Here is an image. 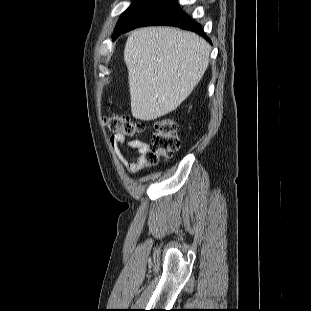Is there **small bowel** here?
<instances>
[{"label":"small bowel","mask_w":311,"mask_h":311,"mask_svg":"<svg viewBox=\"0 0 311 311\" xmlns=\"http://www.w3.org/2000/svg\"><path fill=\"white\" fill-rule=\"evenodd\" d=\"M111 145L121 165L131 174L139 172L145 165V157L149 151L146 142L138 139L127 140L123 134L117 133L111 138ZM120 146L135 150L136 154L126 158L120 151Z\"/></svg>","instance_id":"small-bowel-1"}]
</instances>
